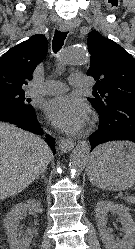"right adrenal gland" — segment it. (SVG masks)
Wrapping results in <instances>:
<instances>
[{"mask_svg":"<svg viewBox=\"0 0 135 249\" xmlns=\"http://www.w3.org/2000/svg\"><path fill=\"white\" fill-rule=\"evenodd\" d=\"M39 178H40V177H39ZM41 178H43V179L45 180V182H47V178H46V175H45V171L42 173Z\"/></svg>","mask_w":135,"mask_h":249,"instance_id":"1","label":"right adrenal gland"}]
</instances>
